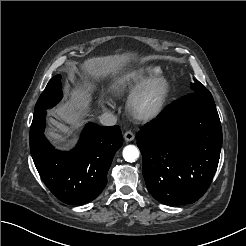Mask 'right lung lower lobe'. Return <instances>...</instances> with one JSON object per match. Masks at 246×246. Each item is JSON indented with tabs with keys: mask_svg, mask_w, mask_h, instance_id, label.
I'll list each match as a JSON object with an SVG mask.
<instances>
[{
	"mask_svg": "<svg viewBox=\"0 0 246 246\" xmlns=\"http://www.w3.org/2000/svg\"><path fill=\"white\" fill-rule=\"evenodd\" d=\"M46 110L34 112L30 128V151L48 189L66 204L94 200L107 183V172L123 136L118 126L89 123L70 152L55 150L46 140Z\"/></svg>",
	"mask_w": 246,
	"mask_h": 246,
	"instance_id": "right-lung-lower-lobe-1",
	"label": "right lung lower lobe"
}]
</instances>
